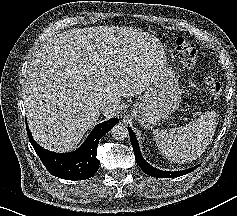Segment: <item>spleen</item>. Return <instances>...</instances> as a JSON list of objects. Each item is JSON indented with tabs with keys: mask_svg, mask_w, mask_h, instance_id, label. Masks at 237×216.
<instances>
[{
	"mask_svg": "<svg viewBox=\"0 0 237 216\" xmlns=\"http://www.w3.org/2000/svg\"><path fill=\"white\" fill-rule=\"evenodd\" d=\"M214 131L215 125L205 112L181 127L153 129V134L158 150L168 160L190 162L204 152Z\"/></svg>",
	"mask_w": 237,
	"mask_h": 216,
	"instance_id": "3e777b00",
	"label": "spleen"
}]
</instances>
